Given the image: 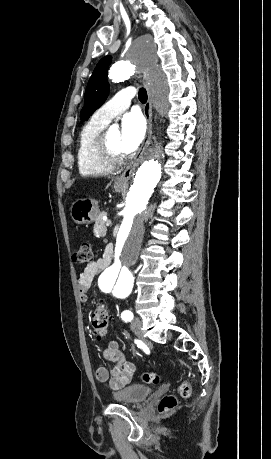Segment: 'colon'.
I'll list each match as a JSON object with an SVG mask.
<instances>
[{
  "label": "colon",
  "mask_w": 271,
  "mask_h": 459,
  "mask_svg": "<svg viewBox=\"0 0 271 459\" xmlns=\"http://www.w3.org/2000/svg\"><path fill=\"white\" fill-rule=\"evenodd\" d=\"M93 260V252L91 245L87 242L80 244L79 248L73 254V261L75 263H87ZM91 326L94 333L103 337L108 332L109 315L105 304L101 303L96 306L91 316ZM143 380L147 383L156 384L159 377L156 373L148 372L143 374ZM179 392L182 397H188L191 394V386L188 382H182L179 386ZM177 406V399L173 395H166L159 403V410L162 413H168L175 409Z\"/></svg>",
  "instance_id": "colon-1"
}]
</instances>
